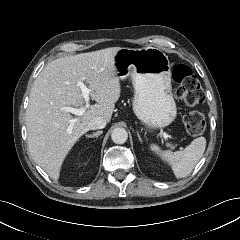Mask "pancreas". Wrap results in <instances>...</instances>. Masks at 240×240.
Wrapping results in <instances>:
<instances>
[{"label": "pancreas", "mask_w": 240, "mask_h": 240, "mask_svg": "<svg viewBox=\"0 0 240 240\" xmlns=\"http://www.w3.org/2000/svg\"><path fill=\"white\" fill-rule=\"evenodd\" d=\"M169 147H171V148H174V146H172V145H168Z\"/></svg>", "instance_id": "1"}]
</instances>
